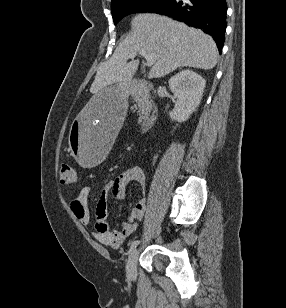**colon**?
Wrapping results in <instances>:
<instances>
[{
	"label": "colon",
	"mask_w": 286,
	"mask_h": 308,
	"mask_svg": "<svg viewBox=\"0 0 286 308\" xmlns=\"http://www.w3.org/2000/svg\"><path fill=\"white\" fill-rule=\"evenodd\" d=\"M59 179L64 185H74L78 181L77 172L70 165H62L59 171Z\"/></svg>",
	"instance_id": "5ec220e1"
}]
</instances>
